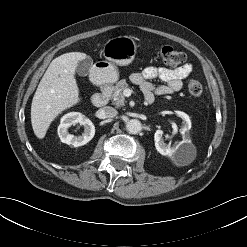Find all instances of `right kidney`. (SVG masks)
I'll return each mask as SVG.
<instances>
[{
  "label": "right kidney",
  "instance_id": "obj_1",
  "mask_svg": "<svg viewBox=\"0 0 247 247\" xmlns=\"http://www.w3.org/2000/svg\"><path fill=\"white\" fill-rule=\"evenodd\" d=\"M76 123L84 126V133L82 136H74L69 134L68 128ZM58 135L63 143L79 147L88 143L95 135L94 124L79 112H70L61 118L58 126Z\"/></svg>",
  "mask_w": 247,
  "mask_h": 247
}]
</instances>
